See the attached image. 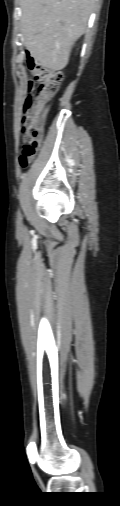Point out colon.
Listing matches in <instances>:
<instances>
[{"instance_id":"colon-1","label":"colon","mask_w":120,"mask_h":506,"mask_svg":"<svg viewBox=\"0 0 120 506\" xmlns=\"http://www.w3.org/2000/svg\"><path fill=\"white\" fill-rule=\"evenodd\" d=\"M24 62L37 82V92L28 96L24 103L22 117L23 148L19 158L25 169L37 154L43 138V125L47 114V104L55 95L62 81V74L35 63V56L29 50L22 52Z\"/></svg>"}]
</instances>
